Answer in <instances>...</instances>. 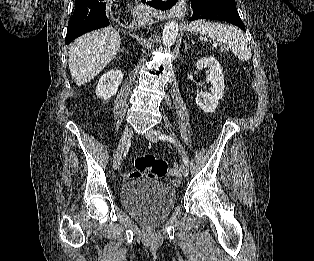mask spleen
Instances as JSON below:
<instances>
[{"instance_id": "3e777b00", "label": "spleen", "mask_w": 314, "mask_h": 261, "mask_svg": "<svg viewBox=\"0 0 314 261\" xmlns=\"http://www.w3.org/2000/svg\"><path fill=\"white\" fill-rule=\"evenodd\" d=\"M188 30L206 35L212 38L213 41L219 42L223 45L220 47V51L230 50L240 61H248L252 56L245 35L234 26L196 20L189 24Z\"/></svg>"}]
</instances>
